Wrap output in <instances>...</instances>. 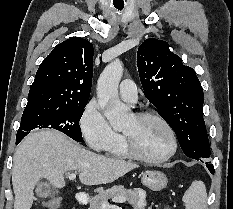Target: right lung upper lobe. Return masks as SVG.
Wrapping results in <instances>:
<instances>
[{"label":"right lung upper lobe","mask_w":233,"mask_h":209,"mask_svg":"<svg viewBox=\"0 0 233 209\" xmlns=\"http://www.w3.org/2000/svg\"><path fill=\"white\" fill-rule=\"evenodd\" d=\"M93 45L72 37L43 60L31 85L29 105H72L88 102L93 75Z\"/></svg>","instance_id":"obj_1"}]
</instances>
